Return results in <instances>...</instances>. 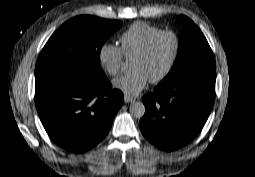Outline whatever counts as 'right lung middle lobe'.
I'll use <instances>...</instances> for the list:
<instances>
[{"label": "right lung middle lobe", "instance_id": "1", "mask_svg": "<svg viewBox=\"0 0 255 177\" xmlns=\"http://www.w3.org/2000/svg\"><path fill=\"white\" fill-rule=\"evenodd\" d=\"M121 23L89 15H81L65 22L42 49L35 67V76L51 72L97 76L100 51Z\"/></svg>", "mask_w": 255, "mask_h": 177}]
</instances>
